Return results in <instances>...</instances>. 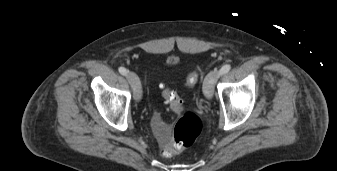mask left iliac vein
Returning <instances> with one entry per match:
<instances>
[{
  "label": "left iliac vein",
  "mask_w": 337,
  "mask_h": 171,
  "mask_svg": "<svg viewBox=\"0 0 337 171\" xmlns=\"http://www.w3.org/2000/svg\"><path fill=\"white\" fill-rule=\"evenodd\" d=\"M219 77V71H212L206 76L203 83V92L206 98L211 99L213 97L214 85Z\"/></svg>",
  "instance_id": "left-iliac-vein-1"
}]
</instances>
